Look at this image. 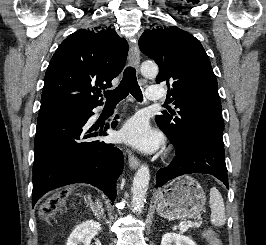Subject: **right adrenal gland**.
I'll return each instance as SVG.
<instances>
[{
  "label": "right adrenal gland",
  "instance_id": "right-adrenal-gland-1",
  "mask_svg": "<svg viewBox=\"0 0 266 245\" xmlns=\"http://www.w3.org/2000/svg\"><path fill=\"white\" fill-rule=\"evenodd\" d=\"M89 205L92 213H94V217H98V219H104L105 223H108L105 215L102 203H100L99 199H96V203H93L91 195H88Z\"/></svg>",
  "mask_w": 266,
  "mask_h": 245
}]
</instances>
